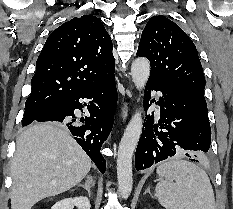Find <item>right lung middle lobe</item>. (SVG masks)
<instances>
[{
  "label": "right lung middle lobe",
  "instance_id": "1",
  "mask_svg": "<svg viewBox=\"0 0 233 209\" xmlns=\"http://www.w3.org/2000/svg\"><path fill=\"white\" fill-rule=\"evenodd\" d=\"M54 104L55 103H26L22 126L31 124L37 117H39Z\"/></svg>",
  "mask_w": 233,
  "mask_h": 209
}]
</instances>
